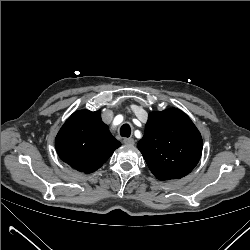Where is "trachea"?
<instances>
[{
    "label": "trachea",
    "mask_w": 250,
    "mask_h": 250,
    "mask_svg": "<svg viewBox=\"0 0 250 250\" xmlns=\"http://www.w3.org/2000/svg\"><path fill=\"white\" fill-rule=\"evenodd\" d=\"M131 134V128L128 124H124L120 128V135L122 137H129Z\"/></svg>",
    "instance_id": "1"
}]
</instances>
